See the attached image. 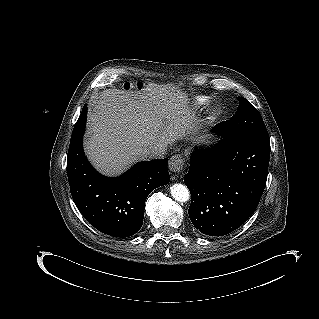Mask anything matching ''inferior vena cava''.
<instances>
[{
    "label": "inferior vena cava",
    "instance_id": "obj_1",
    "mask_svg": "<svg viewBox=\"0 0 319 319\" xmlns=\"http://www.w3.org/2000/svg\"><path fill=\"white\" fill-rule=\"evenodd\" d=\"M146 159H162L166 154V148L163 147H151L142 150Z\"/></svg>",
    "mask_w": 319,
    "mask_h": 319
}]
</instances>
